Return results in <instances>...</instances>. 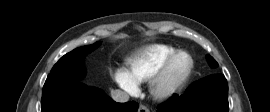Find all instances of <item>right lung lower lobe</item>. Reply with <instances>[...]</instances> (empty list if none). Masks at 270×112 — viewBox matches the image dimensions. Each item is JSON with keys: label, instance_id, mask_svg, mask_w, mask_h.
<instances>
[{"label": "right lung lower lobe", "instance_id": "right-lung-lower-lobe-1", "mask_svg": "<svg viewBox=\"0 0 270 112\" xmlns=\"http://www.w3.org/2000/svg\"><path fill=\"white\" fill-rule=\"evenodd\" d=\"M138 104L116 103L102 90L77 81L45 82L41 112H137Z\"/></svg>", "mask_w": 270, "mask_h": 112}]
</instances>
